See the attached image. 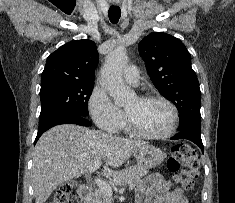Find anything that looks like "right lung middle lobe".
Returning <instances> with one entry per match:
<instances>
[{
	"instance_id": "obj_1",
	"label": "right lung middle lobe",
	"mask_w": 235,
	"mask_h": 203,
	"mask_svg": "<svg viewBox=\"0 0 235 203\" xmlns=\"http://www.w3.org/2000/svg\"><path fill=\"white\" fill-rule=\"evenodd\" d=\"M94 82L64 81L41 86V113L39 120L57 114L88 116V100Z\"/></svg>"
}]
</instances>
